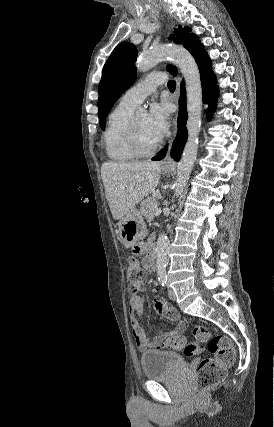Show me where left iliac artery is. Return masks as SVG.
<instances>
[{"label":"left iliac artery","mask_w":274,"mask_h":427,"mask_svg":"<svg viewBox=\"0 0 274 427\" xmlns=\"http://www.w3.org/2000/svg\"><path fill=\"white\" fill-rule=\"evenodd\" d=\"M162 286H166V281H162Z\"/></svg>","instance_id":"1"}]
</instances>
